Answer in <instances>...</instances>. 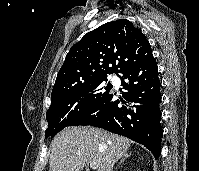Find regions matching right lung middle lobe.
I'll return each mask as SVG.
<instances>
[{
  "label": "right lung middle lobe",
  "mask_w": 199,
  "mask_h": 171,
  "mask_svg": "<svg viewBox=\"0 0 199 171\" xmlns=\"http://www.w3.org/2000/svg\"><path fill=\"white\" fill-rule=\"evenodd\" d=\"M107 77L82 84L66 96L51 103L46 118L48 128L45 137H54L67 127L74 119L104 98L112 88L110 83L101 87Z\"/></svg>",
  "instance_id": "obj_1"
}]
</instances>
